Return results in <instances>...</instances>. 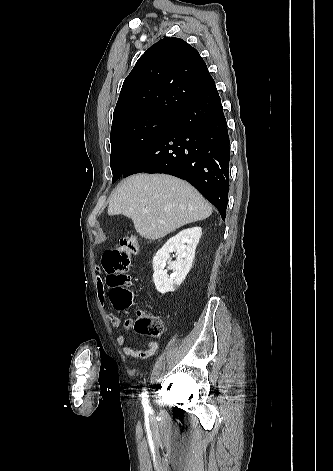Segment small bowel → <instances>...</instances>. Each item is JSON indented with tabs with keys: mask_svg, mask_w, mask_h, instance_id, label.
<instances>
[{
	"mask_svg": "<svg viewBox=\"0 0 333 471\" xmlns=\"http://www.w3.org/2000/svg\"><path fill=\"white\" fill-rule=\"evenodd\" d=\"M97 296L100 303L104 305L106 301V294H105L104 284L100 278L97 279ZM108 320L112 324V326L115 327L116 329H124L126 331L130 330L134 325L133 318H126L125 321L122 323L120 318L113 313L108 314ZM116 342L119 346L122 347V352L126 356L139 358V359H146V358L151 357L158 349V344L157 342H154V341H150L146 343L145 345L146 348L143 350L136 349L129 346H124L126 342V337L122 333L116 337Z\"/></svg>",
	"mask_w": 333,
	"mask_h": 471,
	"instance_id": "1",
	"label": "small bowel"
}]
</instances>
